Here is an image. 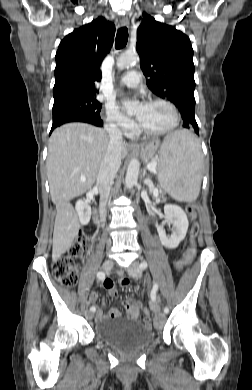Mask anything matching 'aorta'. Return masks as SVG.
<instances>
[{"mask_svg":"<svg viewBox=\"0 0 252 390\" xmlns=\"http://www.w3.org/2000/svg\"><path fill=\"white\" fill-rule=\"evenodd\" d=\"M138 57L136 54L125 53L121 55L117 61V67L119 69H124L135 63H137ZM127 111H132L138 105L137 101L126 100L123 103ZM140 164L137 159H132L127 167L125 184L128 189H131L136 183L139 175Z\"/></svg>","mask_w":252,"mask_h":390,"instance_id":"aorta-1","label":"aorta"}]
</instances>
